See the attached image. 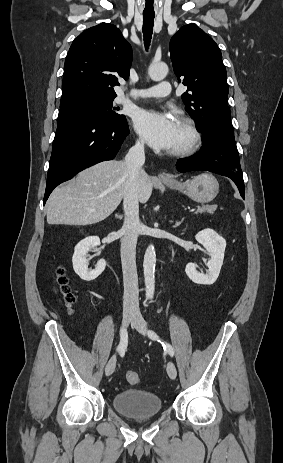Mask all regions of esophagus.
<instances>
[{
  "label": "esophagus",
  "instance_id": "esophagus-1",
  "mask_svg": "<svg viewBox=\"0 0 283 463\" xmlns=\"http://www.w3.org/2000/svg\"><path fill=\"white\" fill-rule=\"evenodd\" d=\"M158 178L161 181H171L172 180V178L170 176H168V175H166L164 173H159Z\"/></svg>",
  "mask_w": 283,
  "mask_h": 463
}]
</instances>
